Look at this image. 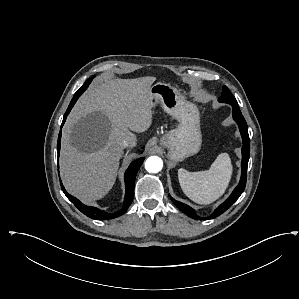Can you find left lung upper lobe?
Returning <instances> with one entry per match:
<instances>
[{"label":"left lung upper lobe","instance_id":"left-lung-upper-lobe-1","mask_svg":"<svg viewBox=\"0 0 299 299\" xmlns=\"http://www.w3.org/2000/svg\"><path fill=\"white\" fill-rule=\"evenodd\" d=\"M218 100L219 102L222 103H229V104L237 103L235 97L232 95V93L226 86H223L222 95L219 97Z\"/></svg>","mask_w":299,"mask_h":299}]
</instances>
